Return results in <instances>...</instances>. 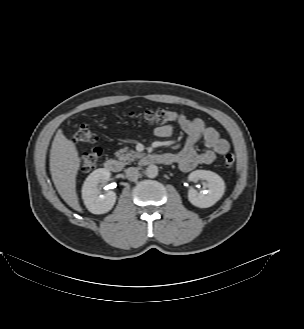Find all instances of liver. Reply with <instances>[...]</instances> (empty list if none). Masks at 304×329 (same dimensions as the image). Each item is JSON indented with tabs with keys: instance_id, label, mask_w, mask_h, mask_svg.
<instances>
[{
	"instance_id": "1",
	"label": "liver",
	"mask_w": 304,
	"mask_h": 329,
	"mask_svg": "<svg viewBox=\"0 0 304 329\" xmlns=\"http://www.w3.org/2000/svg\"><path fill=\"white\" fill-rule=\"evenodd\" d=\"M80 159L75 144L59 130L50 150V173L62 199L74 210L82 212L76 192V176Z\"/></svg>"
}]
</instances>
